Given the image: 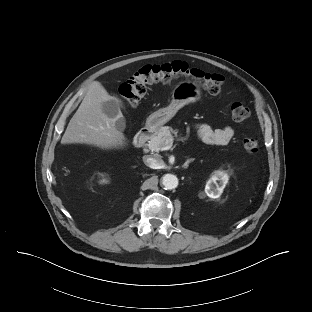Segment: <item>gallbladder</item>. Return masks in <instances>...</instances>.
<instances>
[{"instance_id": "1", "label": "gallbladder", "mask_w": 312, "mask_h": 312, "mask_svg": "<svg viewBox=\"0 0 312 312\" xmlns=\"http://www.w3.org/2000/svg\"><path fill=\"white\" fill-rule=\"evenodd\" d=\"M122 101L118 98L103 102L102 110L109 118L116 119V128L123 131L125 128V119L121 116Z\"/></svg>"}]
</instances>
